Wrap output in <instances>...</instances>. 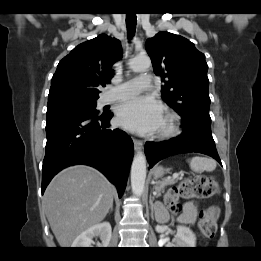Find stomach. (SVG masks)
Masks as SVG:
<instances>
[{
    "instance_id": "0dacf381",
    "label": "stomach",
    "mask_w": 261,
    "mask_h": 261,
    "mask_svg": "<svg viewBox=\"0 0 261 261\" xmlns=\"http://www.w3.org/2000/svg\"><path fill=\"white\" fill-rule=\"evenodd\" d=\"M165 171L166 170L162 166H158L157 168H155V170L153 172L154 178L162 177L164 175Z\"/></svg>"
}]
</instances>
